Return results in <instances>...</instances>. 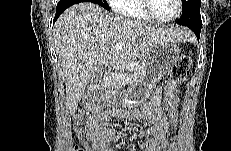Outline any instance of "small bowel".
Segmentation results:
<instances>
[{
  "mask_svg": "<svg viewBox=\"0 0 231 151\" xmlns=\"http://www.w3.org/2000/svg\"><path fill=\"white\" fill-rule=\"evenodd\" d=\"M161 100L162 90L156 88L144 106L131 114L133 119L147 123V126L140 132L146 138L139 145L140 151H162L168 145L169 124L162 110ZM109 119L110 115L107 113L88 117L87 142L82 143L83 148H78L79 151H113V146L120 141L121 136L105 125Z\"/></svg>",
  "mask_w": 231,
  "mask_h": 151,
  "instance_id": "1",
  "label": "small bowel"
}]
</instances>
